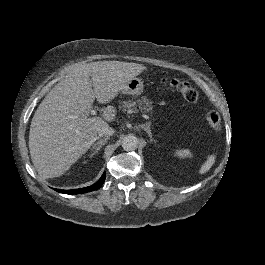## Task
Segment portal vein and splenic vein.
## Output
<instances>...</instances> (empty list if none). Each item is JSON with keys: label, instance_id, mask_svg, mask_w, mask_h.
Wrapping results in <instances>:
<instances>
[{"label": "portal vein and splenic vein", "instance_id": "18ae733b", "mask_svg": "<svg viewBox=\"0 0 265 265\" xmlns=\"http://www.w3.org/2000/svg\"><path fill=\"white\" fill-rule=\"evenodd\" d=\"M91 115H96V111L95 110H92L91 111ZM86 115H83V116H80V115H78V116H74L73 118H74V124H77L80 120H82L84 117H85ZM139 116H142L143 118H147V116L146 115H142V113H139Z\"/></svg>", "mask_w": 265, "mask_h": 265}]
</instances>
